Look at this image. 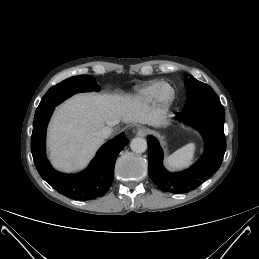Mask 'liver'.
<instances>
[{
	"instance_id": "obj_1",
	"label": "liver",
	"mask_w": 259,
	"mask_h": 259,
	"mask_svg": "<svg viewBox=\"0 0 259 259\" xmlns=\"http://www.w3.org/2000/svg\"><path fill=\"white\" fill-rule=\"evenodd\" d=\"M167 113L149 107L131 95L78 94L55 112L48 129L49 157L53 166L64 172L84 168L103 139L95 135L105 125L140 123L154 127L167 124Z\"/></svg>"
}]
</instances>
